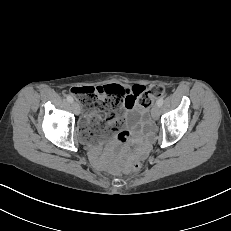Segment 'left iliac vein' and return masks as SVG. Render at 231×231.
Returning <instances> with one entry per match:
<instances>
[{"mask_svg": "<svg viewBox=\"0 0 231 231\" xmlns=\"http://www.w3.org/2000/svg\"><path fill=\"white\" fill-rule=\"evenodd\" d=\"M160 115V107L158 105H154L151 109V116L153 119H158Z\"/></svg>", "mask_w": 231, "mask_h": 231, "instance_id": "1", "label": "left iliac vein"}]
</instances>
